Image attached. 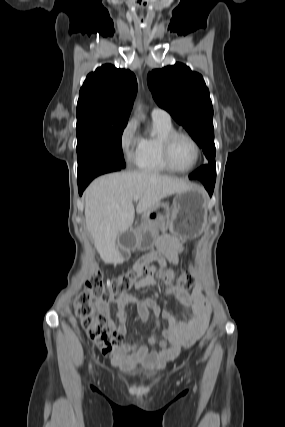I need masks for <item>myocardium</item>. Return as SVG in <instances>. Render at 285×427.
<instances>
[{
	"label": "myocardium",
	"mask_w": 285,
	"mask_h": 427,
	"mask_svg": "<svg viewBox=\"0 0 285 427\" xmlns=\"http://www.w3.org/2000/svg\"><path fill=\"white\" fill-rule=\"evenodd\" d=\"M177 137H185L187 138L194 146L195 149V158L194 161L192 163V165L187 168V169H177L176 167L173 166L171 159H170V149H171V145L173 143V141L177 138ZM161 158L162 161L165 165V167L169 170L172 171L174 173H179V174H185V173H189L191 171H193L200 159V146L198 144V142L196 141V139L189 134L188 132L185 131H181V130H174L170 133H168L162 140L161 142Z\"/></svg>",
	"instance_id": "1"
}]
</instances>
